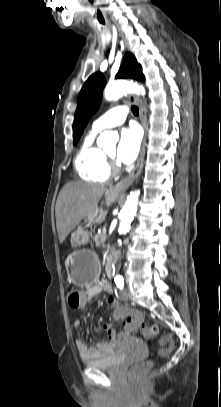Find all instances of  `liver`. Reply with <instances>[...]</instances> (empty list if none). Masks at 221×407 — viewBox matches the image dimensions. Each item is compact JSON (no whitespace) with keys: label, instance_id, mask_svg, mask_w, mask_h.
I'll use <instances>...</instances> for the list:
<instances>
[{"label":"liver","instance_id":"6515ba94","mask_svg":"<svg viewBox=\"0 0 221 407\" xmlns=\"http://www.w3.org/2000/svg\"><path fill=\"white\" fill-rule=\"evenodd\" d=\"M109 190L103 185L85 182H69L59 193L55 206L56 226L62 244L68 234L91 214L104 193Z\"/></svg>","mask_w":221,"mask_h":407}]
</instances>
